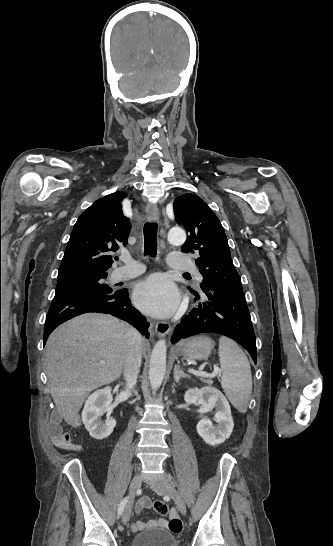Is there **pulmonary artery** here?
I'll return each mask as SVG.
<instances>
[{
  "label": "pulmonary artery",
  "mask_w": 333,
  "mask_h": 546,
  "mask_svg": "<svg viewBox=\"0 0 333 546\" xmlns=\"http://www.w3.org/2000/svg\"><path fill=\"white\" fill-rule=\"evenodd\" d=\"M123 262L125 263L124 266L115 268L112 271V280H126L135 277L144 271V267L130 257H124ZM168 263L171 268L180 271L190 270L193 268L192 260L187 255L180 253H171L169 255ZM197 277L200 278V275L197 274Z\"/></svg>",
  "instance_id": "pulmonary-artery-1"
}]
</instances>
